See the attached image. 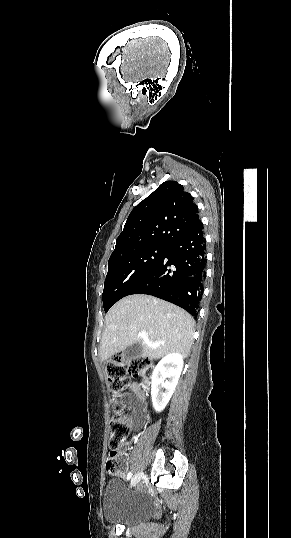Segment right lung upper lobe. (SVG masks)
I'll use <instances>...</instances> for the list:
<instances>
[{"label":"right lung upper lobe","instance_id":"1","mask_svg":"<svg viewBox=\"0 0 291 538\" xmlns=\"http://www.w3.org/2000/svg\"><path fill=\"white\" fill-rule=\"evenodd\" d=\"M201 224L191 194L178 182L166 181L131 211L110 258L146 246H169Z\"/></svg>","mask_w":291,"mask_h":538}]
</instances>
